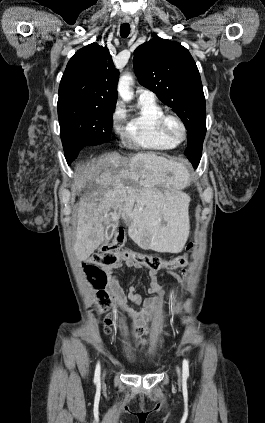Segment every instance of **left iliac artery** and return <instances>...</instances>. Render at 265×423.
Listing matches in <instances>:
<instances>
[{
    "label": "left iliac artery",
    "mask_w": 265,
    "mask_h": 423,
    "mask_svg": "<svg viewBox=\"0 0 265 423\" xmlns=\"http://www.w3.org/2000/svg\"><path fill=\"white\" fill-rule=\"evenodd\" d=\"M183 376L184 377H188L189 376V362L188 360L184 359L183 360Z\"/></svg>",
    "instance_id": "obj_1"
}]
</instances>
